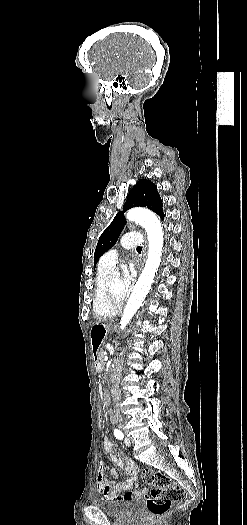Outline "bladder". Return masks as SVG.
Here are the masks:
<instances>
[{
	"label": "bladder",
	"mask_w": 247,
	"mask_h": 525,
	"mask_svg": "<svg viewBox=\"0 0 247 525\" xmlns=\"http://www.w3.org/2000/svg\"><path fill=\"white\" fill-rule=\"evenodd\" d=\"M108 517L123 518L132 513L139 512L142 508V500L132 498H101L92 501Z\"/></svg>",
	"instance_id": "1"
}]
</instances>
